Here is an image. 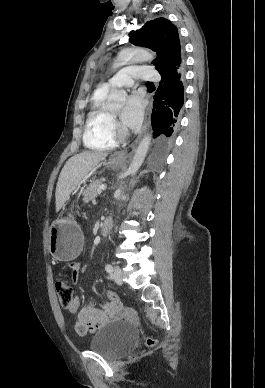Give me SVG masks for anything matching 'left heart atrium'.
Wrapping results in <instances>:
<instances>
[{"mask_svg":"<svg viewBox=\"0 0 265 388\" xmlns=\"http://www.w3.org/2000/svg\"><path fill=\"white\" fill-rule=\"evenodd\" d=\"M126 104L122 112V121L126 126H137L143 115V102L139 94L132 93L126 98Z\"/></svg>","mask_w":265,"mask_h":388,"instance_id":"1","label":"left heart atrium"}]
</instances>
